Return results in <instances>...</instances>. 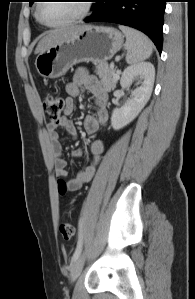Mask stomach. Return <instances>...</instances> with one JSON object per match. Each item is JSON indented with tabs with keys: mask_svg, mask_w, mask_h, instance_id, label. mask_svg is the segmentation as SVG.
I'll use <instances>...</instances> for the list:
<instances>
[{
	"mask_svg": "<svg viewBox=\"0 0 195 299\" xmlns=\"http://www.w3.org/2000/svg\"><path fill=\"white\" fill-rule=\"evenodd\" d=\"M123 42V34L113 27L84 26L75 35L39 53L36 70L42 77L58 78L77 63L106 62L121 49Z\"/></svg>",
	"mask_w": 195,
	"mask_h": 299,
	"instance_id": "1",
	"label": "stomach"
}]
</instances>
